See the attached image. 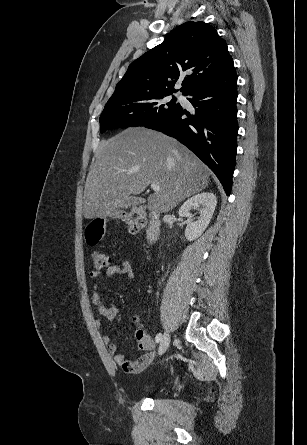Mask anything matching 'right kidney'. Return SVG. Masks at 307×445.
I'll return each instance as SVG.
<instances>
[{
  "label": "right kidney",
  "instance_id": "right-kidney-1",
  "mask_svg": "<svg viewBox=\"0 0 307 445\" xmlns=\"http://www.w3.org/2000/svg\"><path fill=\"white\" fill-rule=\"evenodd\" d=\"M216 204L217 198L213 192H200V194H195V196L188 198V200L180 206L179 216H188V218H190L185 229L187 241H195V239H198V237L204 233L213 216ZM191 208H196V210L200 212L198 220H194V223L190 214Z\"/></svg>",
  "mask_w": 307,
  "mask_h": 445
}]
</instances>
